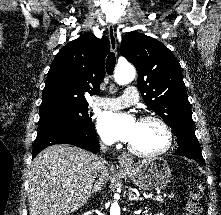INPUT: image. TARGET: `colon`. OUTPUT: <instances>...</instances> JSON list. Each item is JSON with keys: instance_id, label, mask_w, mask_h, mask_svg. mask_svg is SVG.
I'll use <instances>...</instances> for the list:
<instances>
[{"instance_id": "obj_1", "label": "colon", "mask_w": 221, "mask_h": 215, "mask_svg": "<svg viewBox=\"0 0 221 215\" xmlns=\"http://www.w3.org/2000/svg\"><path fill=\"white\" fill-rule=\"evenodd\" d=\"M201 206L199 203V194L194 193L191 196V199L187 205V214L186 215H200Z\"/></svg>"}]
</instances>
